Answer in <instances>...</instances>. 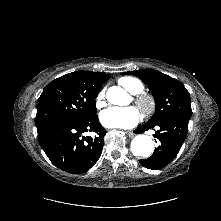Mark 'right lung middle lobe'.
Here are the masks:
<instances>
[{
	"label": "right lung middle lobe",
	"instance_id": "right-lung-middle-lobe-1",
	"mask_svg": "<svg viewBox=\"0 0 221 221\" xmlns=\"http://www.w3.org/2000/svg\"><path fill=\"white\" fill-rule=\"evenodd\" d=\"M98 92L86 88L67 74L53 80L44 88L37 102V129L59 121L84 122L95 118Z\"/></svg>",
	"mask_w": 221,
	"mask_h": 221
}]
</instances>
